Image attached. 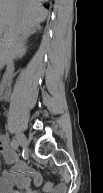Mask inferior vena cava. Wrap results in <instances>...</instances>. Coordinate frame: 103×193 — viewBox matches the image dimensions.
Returning <instances> with one entry per match:
<instances>
[{
	"label": "inferior vena cava",
	"mask_w": 103,
	"mask_h": 193,
	"mask_svg": "<svg viewBox=\"0 0 103 193\" xmlns=\"http://www.w3.org/2000/svg\"><path fill=\"white\" fill-rule=\"evenodd\" d=\"M13 31H14L15 33H17V31H18L17 27L14 28Z\"/></svg>",
	"instance_id": "obj_1"
}]
</instances>
